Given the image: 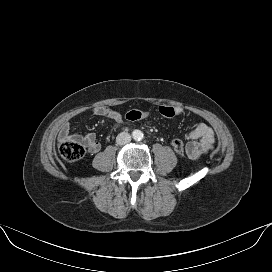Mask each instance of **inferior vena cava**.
I'll return each mask as SVG.
<instances>
[{
  "instance_id": "inferior-vena-cava-1",
  "label": "inferior vena cava",
  "mask_w": 272,
  "mask_h": 272,
  "mask_svg": "<svg viewBox=\"0 0 272 272\" xmlns=\"http://www.w3.org/2000/svg\"><path fill=\"white\" fill-rule=\"evenodd\" d=\"M131 141V135L127 132H121L116 137V143L118 145H125Z\"/></svg>"
}]
</instances>
